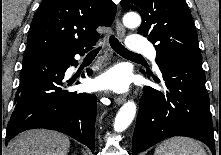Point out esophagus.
Masks as SVG:
<instances>
[{"label": "esophagus", "instance_id": "obj_1", "mask_svg": "<svg viewBox=\"0 0 221 155\" xmlns=\"http://www.w3.org/2000/svg\"><path fill=\"white\" fill-rule=\"evenodd\" d=\"M115 27H116V33H117V36L120 38V39H123V37L125 36V28L124 26L122 25V23L120 22V20L116 19V24H115ZM125 96H115L114 97V101L115 103H117L118 105L122 104L125 102Z\"/></svg>", "mask_w": 221, "mask_h": 155}]
</instances>
